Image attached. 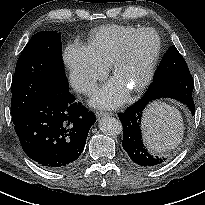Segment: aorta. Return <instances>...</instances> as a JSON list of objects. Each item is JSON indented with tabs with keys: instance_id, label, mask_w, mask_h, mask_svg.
Here are the masks:
<instances>
[{
	"instance_id": "obj_1",
	"label": "aorta",
	"mask_w": 205,
	"mask_h": 205,
	"mask_svg": "<svg viewBox=\"0 0 205 205\" xmlns=\"http://www.w3.org/2000/svg\"><path fill=\"white\" fill-rule=\"evenodd\" d=\"M99 129L106 135L116 136L122 132V124L114 117H104L99 121Z\"/></svg>"
}]
</instances>
